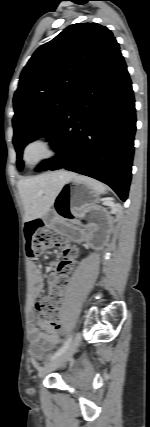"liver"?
Segmentation results:
<instances>
[{"label":"liver","mask_w":150,"mask_h":427,"mask_svg":"<svg viewBox=\"0 0 150 427\" xmlns=\"http://www.w3.org/2000/svg\"><path fill=\"white\" fill-rule=\"evenodd\" d=\"M72 172L57 171L24 178L18 182V190L25 209V220H33L45 215L67 182L75 178Z\"/></svg>","instance_id":"1"}]
</instances>
